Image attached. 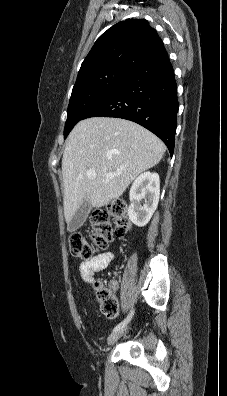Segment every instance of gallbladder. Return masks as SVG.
Here are the masks:
<instances>
[{
	"label": "gallbladder",
	"mask_w": 227,
	"mask_h": 396,
	"mask_svg": "<svg viewBox=\"0 0 227 396\" xmlns=\"http://www.w3.org/2000/svg\"><path fill=\"white\" fill-rule=\"evenodd\" d=\"M90 210H91V204L88 199L84 198L81 206L76 211L71 221L68 223L67 230L69 232H73L78 228H80L85 222L86 218L88 217Z\"/></svg>",
	"instance_id": "bac80fb5"
}]
</instances>
